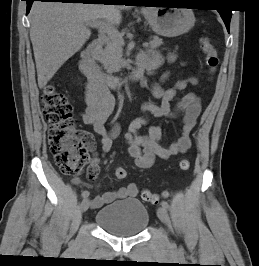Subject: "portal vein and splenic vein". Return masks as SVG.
Wrapping results in <instances>:
<instances>
[{"instance_id":"portal-vein-and-splenic-vein-1","label":"portal vein and splenic vein","mask_w":259,"mask_h":266,"mask_svg":"<svg viewBox=\"0 0 259 266\" xmlns=\"http://www.w3.org/2000/svg\"><path fill=\"white\" fill-rule=\"evenodd\" d=\"M89 26L93 27V28H98V29L106 32L111 37L122 39V35L119 33V31L113 25H111L105 21L95 20V21H92L91 23H89ZM148 45L149 44L147 42L143 43L144 48H147Z\"/></svg>"}]
</instances>
